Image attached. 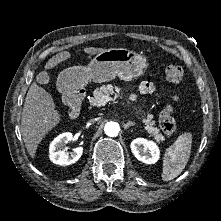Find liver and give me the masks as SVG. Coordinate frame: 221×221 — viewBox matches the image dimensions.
Segmentation results:
<instances>
[{"label":"liver","mask_w":221,"mask_h":221,"mask_svg":"<svg viewBox=\"0 0 221 221\" xmlns=\"http://www.w3.org/2000/svg\"><path fill=\"white\" fill-rule=\"evenodd\" d=\"M107 49L86 47V54L94 55ZM71 57L68 51H63L48 60L45 69H52ZM38 77V75H37ZM36 77V79H37ZM61 115L56 109L52 96L45 89L33 82L27 92L21 115V134L29 155L34 158L38 145L45 135L56 127Z\"/></svg>","instance_id":"obj_1"}]
</instances>
